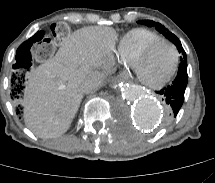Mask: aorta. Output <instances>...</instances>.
<instances>
[{"instance_id":"1","label":"aorta","mask_w":215,"mask_h":183,"mask_svg":"<svg viewBox=\"0 0 215 183\" xmlns=\"http://www.w3.org/2000/svg\"><path fill=\"white\" fill-rule=\"evenodd\" d=\"M113 93L117 101L128 108L138 126L153 128L161 122L162 106L154 98L145 95L138 87L116 82L113 85Z\"/></svg>"}]
</instances>
